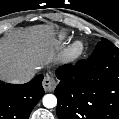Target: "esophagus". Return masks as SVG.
<instances>
[{
    "label": "esophagus",
    "instance_id": "1",
    "mask_svg": "<svg viewBox=\"0 0 119 119\" xmlns=\"http://www.w3.org/2000/svg\"><path fill=\"white\" fill-rule=\"evenodd\" d=\"M42 84L45 91L52 92L56 88L57 82L51 73H47Z\"/></svg>",
    "mask_w": 119,
    "mask_h": 119
}]
</instances>
